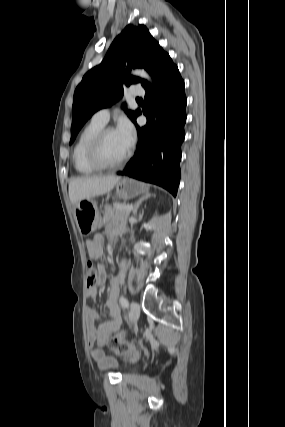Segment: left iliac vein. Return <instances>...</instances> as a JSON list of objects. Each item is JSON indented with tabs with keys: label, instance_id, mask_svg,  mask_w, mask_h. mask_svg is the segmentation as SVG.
I'll return each mask as SVG.
<instances>
[{
	"label": "left iliac vein",
	"instance_id": "1",
	"mask_svg": "<svg viewBox=\"0 0 285 427\" xmlns=\"http://www.w3.org/2000/svg\"><path fill=\"white\" fill-rule=\"evenodd\" d=\"M131 318L133 321H137L140 316V306L136 302L131 303L130 307Z\"/></svg>",
	"mask_w": 285,
	"mask_h": 427
}]
</instances>
